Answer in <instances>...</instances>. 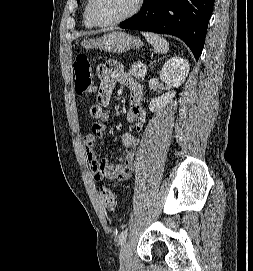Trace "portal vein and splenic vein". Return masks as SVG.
<instances>
[{"mask_svg":"<svg viewBox=\"0 0 253 271\" xmlns=\"http://www.w3.org/2000/svg\"><path fill=\"white\" fill-rule=\"evenodd\" d=\"M138 66H139V67H142L143 64H142L141 62H138Z\"/></svg>","mask_w":253,"mask_h":271,"instance_id":"portal-vein-and-splenic-vein-1","label":"portal vein and splenic vein"}]
</instances>
